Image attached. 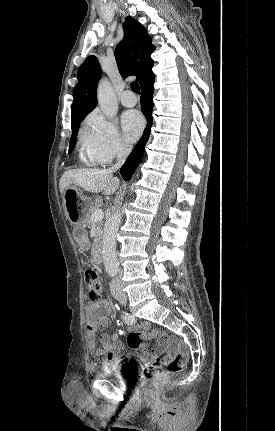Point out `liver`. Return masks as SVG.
<instances>
[{"label":"liver","instance_id":"obj_1","mask_svg":"<svg viewBox=\"0 0 275 431\" xmlns=\"http://www.w3.org/2000/svg\"><path fill=\"white\" fill-rule=\"evenodd\" d=\"M72 184L88 192L99 193L103 191L104 195H111L118 189L120 181L118 178L113 177L110 170H68L62 175L59 182L61 194Z\"/></svg>","mask_w":275,"mask_h":431}]
</instances>
